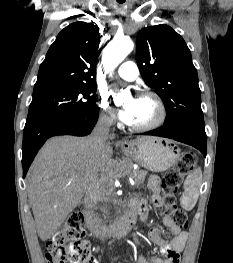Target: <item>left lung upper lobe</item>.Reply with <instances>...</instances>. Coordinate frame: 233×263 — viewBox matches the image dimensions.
<instances>
[{
	"instance_id": "left-lung-upper-lobe-1",
	"label": "left lung upper lobe",
	"mask_w": 233,
	"mask_h": 263,
	"mask_svg": "<svg viewBox=\"0 0 233 263\" xmlns=\"http://www.w3.org/2000/svg\"><path fill=\"white\" fill-rule=\"evenodd\" d=\"M136 41L141 75L165 103L164 125L204 126L197 71L183 38L162 24L143 28Z\"/></svg>"
}]
</instances>
